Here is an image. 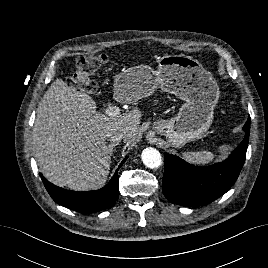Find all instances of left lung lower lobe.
<instances>
[{"instance_id":"left-lung-lower-lobe-1","label":"left lung lower lobe","mask_w":268,"mask_h":268,"mask_svg":"<svg viewBox=\"0 0 268 268\" xmlns=\"http://www.w3.org/2000/svg\"><path fill=\"white\" fill-rule=\"evenodd\" d=\"M250 116L243 127L244 140L223 162L208 166H193L181 158L164 155L162 191L174 204L200 206L225 194L236 181L246 158L249 141Z\"/></svg>"}]
</instances>
